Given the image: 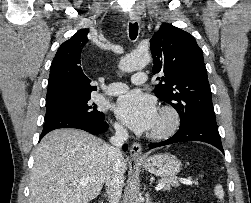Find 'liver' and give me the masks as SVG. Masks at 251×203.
I'll use <instances>...</instances> for the list:
<instances>
[{"mask_svg":"<svg viewBox=\"0 0 251 203\" xmlns=\"http://www.w3.org/2000/svg\"><path fill=\"white\" fill-rule=\"evenodd\" d=\"M109 145L87 132L59 129L35 149L29 203H88L101 192L111 162ZM123 172L127 162L123 158Z\"/></svg>","mask_w":251,"mask_h":203,"instance_id":"1","label":"liver"}]
</instances>
